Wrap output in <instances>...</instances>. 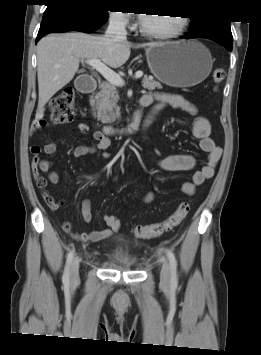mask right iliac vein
Wrapping results in <instances>:
<instances>
[{
	"instance_id": "63e3f726",
	"label": "right iliac vein",
	"mask_w": 261,
	"mask_h": 355,
	"mask_svg": "<svg viewBox=\"0 0 261 355\" xmlns=\"http://www.w3.org/2000/svg\"><path fill=\"white\" fill-rule=\"evenodd\" d=\"M79 263L80 260L78 257H75L71 263L70 267V282L71 285H76L79 281Z\"/></svg>"
}]
</instances>
